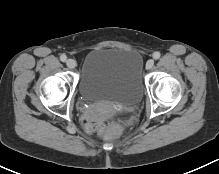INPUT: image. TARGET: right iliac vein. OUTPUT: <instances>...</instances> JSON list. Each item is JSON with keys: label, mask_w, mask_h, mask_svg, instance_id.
<instances>
[{"label": "right iliac vein", "mask_w": 219, "mask_h": 174, "mask_svg": "<svg viewBox=\"0 0 219 174\" xmlns=\"http://www.w3.org/2000/svg\"><path fill=\"white\" fill-rule=\"evenodd\" d=\"M66 65L68 66V68L74 69L76 67V61L74 59H68L66 61Z\"/></svg>", "instance_id": "1"}]
</instances>
